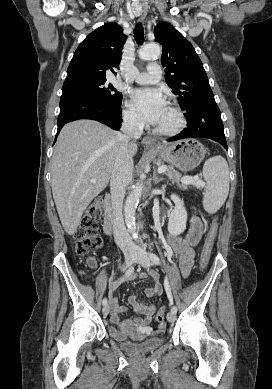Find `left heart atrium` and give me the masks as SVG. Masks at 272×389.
Masks as SVG:
<instances>
[{
	"instance_id": "left-heart-atrium-1",
	"label": "left heart atrium",
	"mask_w": 272,
	"mask_h": 389,
	"mask_svg": "<svg viewBox=\"0 0 272 389\" xmlns=\"http://www.w3.org/2000/svg\"><path fill=\"white\" fill-rule=\"evenodd\" d=\"M130 104L144 121L153 125L158 123L166 108L161 91L155 88L134 89L130 93Z\"/></svg>"
}]
</instances>
